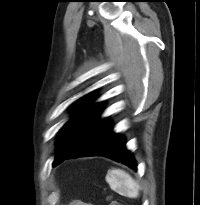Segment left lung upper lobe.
I'll list each match as a JSON object with an SVG mask.
<instances>
[{
  "label": "left lung upper lobe",
  "instance_id": "obj_1",
  "mask_svg": "<svg viewBox=\"0 0 200 205\" xmlns=\"http://www.w3.org/2000/svg\"><path fill=\"white\" fill-rule=\"evenodd\" d=\"M86 96L77 102L85 99ZM92 100L81 102L74 116L62 127L58 138V151L53 166L61 163L84 139L99 121L102 103L91 104Z\"/></svg>",
  "mask_w": 200,
  "mask_h": 205
}]
</instances>
